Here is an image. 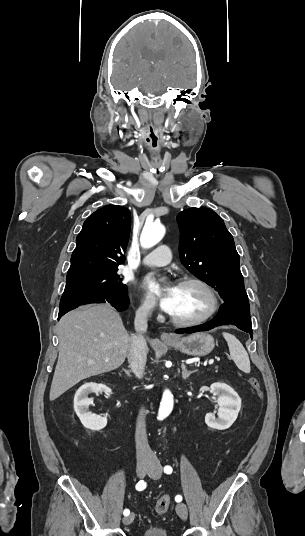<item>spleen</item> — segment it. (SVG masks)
Instances as JSON below:
<instances>
[{
    "label": "spleen",
    "mask_w": 305,
    "mask_h": 536,
    "mask_svg": "<svg viewBox=\"0 0 305 536\" xmlns=\"http://www.w3.org/2000/svg\"><path fill=\"white\" fill-rule=\"evenodd\" d=\"M223 338H225L228 344L231 360L235 362L237 368H239L241 372L250 374L251 368L249 356L241 342H239L235 336H232V334H227V332H224Z\"/></svg>",
    "instance_id": "spleen-1"
}]
</instances>
